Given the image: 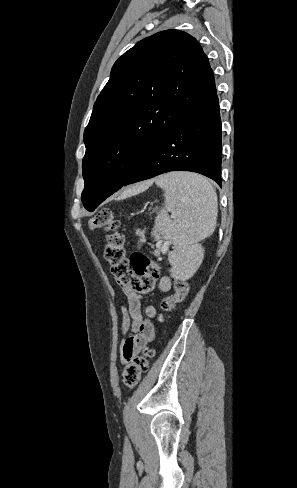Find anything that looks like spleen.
I'll return each instance as SVG.
<instances>
[{
  "label": "spleen",
  "mask_w": 297,
  "mask_h": 488,
  "mask_svg": "<svg viewBox=\"0 0 297 488\" xmlns=\"http://www.w3.org/2000/svg\"><path fill=\"white\" fill-rule=\"evenodd\" d=\"M156 184L165 192L164 209L155 219L156 238L174 244L175 249L169 254L174 270L181 269L185 259L195 267L199 262L196 243L211 235L216 226L214 188L202 176L185 172L161 175Z\"/></svg>",
  "instance_id": "1"
}]
</instances>
